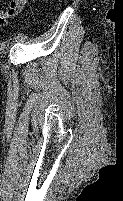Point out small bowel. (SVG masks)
Masks as SVG:
<instances>
[{
	"instance_id": "obj_1",
	"label": "small bowel",
	"mask_w": 123,
	"mask_h": 201,
	"mask_svg": "<svg viewBox=\"0 0 123 201\" xmlns=\"http://www.w3.org/2000/svg\"><path fill=\"white\" fill-rule=\"evenodd\" d=\"M29 0H11L5 8L0 9V26L8 23L9 19L21 13Z\"/></svg>"
}]
</instances>
